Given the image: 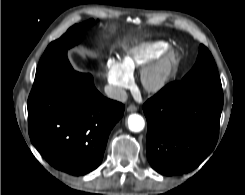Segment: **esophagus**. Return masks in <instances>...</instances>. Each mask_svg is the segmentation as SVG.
I'll return each instance as SVG.
<instances>
[{
  "mask_svg": "<svg viewBox=\"0 0 245 195\" xmlns=\"http://www.w3.org/2000/svg\"><path fill=\"white\" fill-rule=\"evenodd\" d=\"M127 111L128 112H135V111H137V107L135 105L131 104L127 107Z\"/></svg>",
  "mask_w": 245,
  "mask_h": 195,
  "instance_id": "obj_1",
  "label": "esophagus"
}]
</instances>
